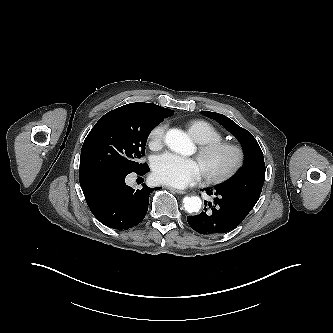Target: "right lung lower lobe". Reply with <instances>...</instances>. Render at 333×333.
Instances as JSON below:
<instances>
[{"instance_id": "1", "label": "right lung lower lobe", "mask_w": 333, "mask_h": 333, "mask_svg": "<svg viewBox=\"0 0 333 333\" xmlns=\"http://www.w3.org/2000/svg\"><path fill=\"white\" fill-rule=\"evenodd\" d=\"M149 171L145 165L138 175ZM131 172L111 168L79 171V181L92 214L104 225L113 229H129L138 225L148 210L149 195L155 188L143 184L132 189L125 184Z\"/></svg>"}]
</instances>
